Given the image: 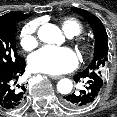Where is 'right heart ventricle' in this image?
<instances>
[{"label":"right heart ventricle","mask_w":117,"mask_h":117,"mask_svg":"<svg viewBox=\"0 0 117 117\" xmlns=\"http://www.w3.org/2000/svg\"><path fill=\"white\" fill-rule=\"evenodd\" d=\"M61 24L64 31L69 36H76L82 32V25L76 18L73 17L64 18L61 21Z\"/></svg>","instance_id":"right-heart-ventricle-1"}]
</instances>
